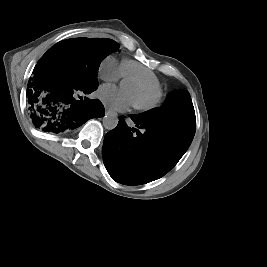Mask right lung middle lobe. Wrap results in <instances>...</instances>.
Returning a JSON list of instances; mask_svg holds the SVG:
<instances>
[{
	"label": "right lung middle lobe",
	"mask_w": 267,
	"mask_h": 267,
	"mask_svg": "<svg viewBox=\"0 0 267 267\" xmlns=\"http://www.w3.org/2000/svg\"><path fill=\"white\" fill-rule=\"evenodd\" d=\"M118 49L119 44L107 38H73L52 46L39 62L57 67L79 86L98 87L100 63Z\"/></svg>",
	"instance_id": "obj_1"
}]
</instances>
